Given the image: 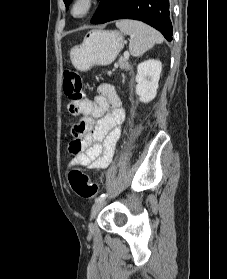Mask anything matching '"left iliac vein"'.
Here are the masks:
<instances>
[{
  "label": "left iliac vein",
  "instance_id": "4c4485c4",
  "mask_svg": "<svg viewBox=\"0 0 227 279\" xmlns=\"http://www.w3.org/2000/svg\"><path fill=\"white\" fill-rule=\"evenodd\" d=\"M106 204V200L103 199L99 202H96L91 209V220L96 216L100 209ZM90 229L93 228L92 224L89 225Z\"/></svg>",
  "mask_w": 227,
  "mask_h": 279
}]
</instances>
